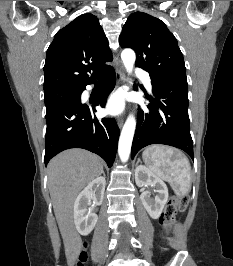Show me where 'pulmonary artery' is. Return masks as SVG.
Wrapping results in <instances>:
<instances>
[{
  "mask_svg": "<svg viewBox=\"0 0 233 266\" xmlns=\"http://www.w3.org/2000/svg\"><path fill=\"white\" fill-rule=\"evenodd\" d=\"M136 76L144 82V84L148 90H151V88H152L151 79H150L148 73L139 70L136 72Z\"/></svg>",
  "mask_w": 233,
  "mask_h": 266,
  "instance_id": "1",
  "label": "pulmonary artery"
}]
</instances>
